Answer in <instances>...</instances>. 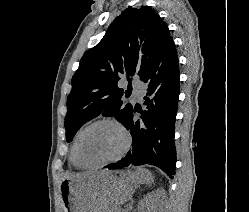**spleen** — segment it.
<instances>
[{
    "instance_id": "3e777b00",
    "label": "spleen",
    "mask_w": 249,
    "mask_h": 212,
    "mask_svg": "<svg viewBox=\"0 0 249 212\" xmlns=\"http://www.w3.org/2000/svg\"><path fill=\"white\" fill-rule=\"evenodd\" d=\"M145 172H147V174H148V176H147L145 182H147V184H151L153 178H152L150 172H148V170H145Z\"/></svg>"
}]
</instances>
